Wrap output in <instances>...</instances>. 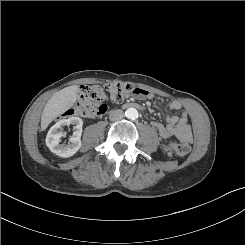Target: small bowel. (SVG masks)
<instances>
[{
    "mask_svg": "<svg viewBox=\"0 0 245 245\" xmlns=\"http://www.w3.org/2000/svg\"><path fill=\"white\" fill-rule=\"evenodd\" d=\"M143 93L135 95L141 100L151 99L152 94L148 91L142 90ZM182 104L178 101L172 102L168 107L167 123L163 125L159 122H152L151 125L158 131L162 138L177 137L182 141H190L192 139L191 127L188 123V114L182 111L179 115H172L173 110H180Z\"/></svg>",
    "mask_w": 245,
    "mask_h": 245,
    "instance_id": "c3829d8e",
    "label": "small bowel"
}]
</instances>
